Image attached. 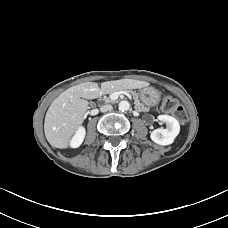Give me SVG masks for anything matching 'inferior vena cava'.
<instances>
[{
  "instance_id": "602c4592",
  "label": "inferior vena cava",
  "mask_w": 228,
  "mask_h": 228,
  "mask_svg": "<svg viewBox=\"0 0 228 228\" xmlns=\"http://www.w3.org/2000/svg\"><path fill=\"white\" fill-rule=\"evenodd\" d=\"M112 108H113V107H112L111 105L106 104V105H103V106L100 107V111H101V112H107V111H111Z\"/></svg>"
}]
</instances>
